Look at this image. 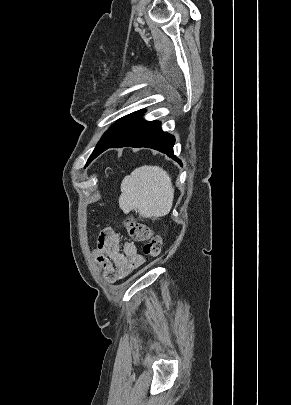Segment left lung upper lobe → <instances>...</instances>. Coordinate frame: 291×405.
<instances>
[{
	"instance_id": "5c2ea615",
	"label": "left lung upper lobe",
	"mask_w": 291,
	"mask_h": 405,
	"mask_svg": "<svg viewBox=\"0 0 291 405\" xmlns=\"http://www.w3.org/2000/svg\"><path fill=\"white\" fill-rule=\"evenodd\" d=\"M134 114H130L128 116H125L121 119H119L118 122L113 124L110 129L102 136L101 140L97 144L96 148L94 149L93 153L91 154L90 158L88 159L87 164L90 163L95 157V154L101 150L102 148H105L106 146L112 144L115 142L126 130V128L129 126L131 120L133 119Z\"/></svg>"
}]
</instances>
